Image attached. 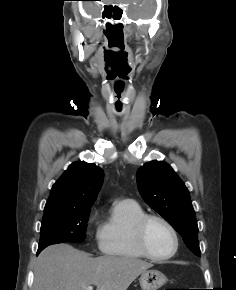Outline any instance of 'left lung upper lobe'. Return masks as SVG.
<instances>
[{
	"label": "left lung upper lobe",
	"instance_id": "5c2ea615",
	"mask_svg": "<svg viewBox=\"0 0 236 290\" xmlns=\"http://www.w3.org/2000/svg\"><path fill=\"white\" fill-rule=\"evenodd\" d=\"M137 182L145 202L173 226L190 251L200 257L198 226L189 191L172 167L165 162L150 161L138 169Z\"/></svg>",
	"mask_w": 236,
	"mask_h": 290
}]
</instances>
